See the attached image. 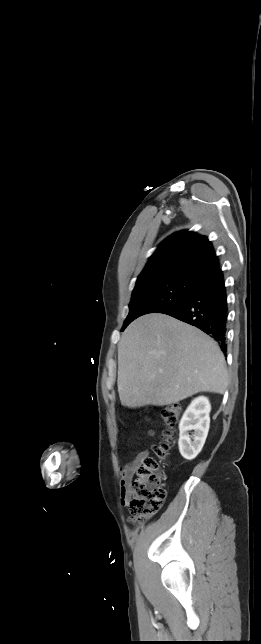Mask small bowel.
<instances>
[{"label":"small bowel","instance_id":"c3829d8e","mask_svg":"<svg viewBox=\"0 0 261 644\" xmlns=\"http://www.w3.org/2000/svg\"><path fill=\"white\" fill-rule=\"evenodd\" d=\"M147 456H148L147 451H141L136 455L135 459L132 462L123 466L121 470L122 505H127L129 503V495H128L129 484L132 481L134 475L136 474L138 466L141 464L143 459L146 458Z\"/></svg>","mask_w":261,"mask_h":644}]
</instances>
